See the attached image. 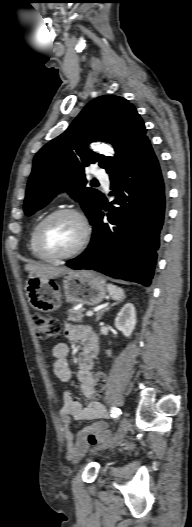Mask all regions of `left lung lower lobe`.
Here are the masks:
<instances>
[{
    "label": "left lung lower lobe",
    "mask_w": 192,
    "mask_h": 527,
    "mask_svg": "<svg viewBox=\"0 0 192 527\" xmlns=\"http://www.w3.org/2000/svg\"><path fill=\"white\" fill-rule=\"evenodd\" d=\"M110 180L116 198L108 222L100 204L89 246L67 266L149 286L165 213V176L150 141L140 144Z\"/></svg>",
    "instance_id": "0a47b994"
}]
</instances>
